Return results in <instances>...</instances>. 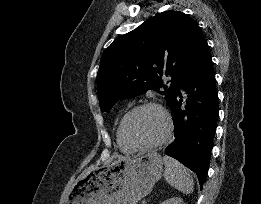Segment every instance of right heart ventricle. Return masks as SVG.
Here are the masks:
<instances>
[{
  "label": "right heart ventricle",
  "instance_id": "right-heart-ventricle-1",
  "mask_svg": "<svg viewBox=\"0 0 261 204\" xmlns=\"http://www.w3.org/2000/svg\"><path fill=\"white\" fill-rule=\"evenodd\" d=\"M116 143H117V146L119 148V150L125 154H129L131 153L133 150H131L130 148H128L124 143L123 141L121 140V137H120V133H119V126L117 127L116 129Z\"/></svg>",
  "mask_w": 261,
  "mask_h": 204
}]
</instances>
